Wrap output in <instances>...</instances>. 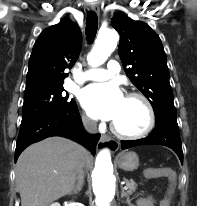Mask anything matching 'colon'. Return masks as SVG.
I'll use <instances>...</instances> for the list:
<instances>
[{
    "label": "colon",
    "instance_id": "obj_1",
    "mask_svg": "<svg viewBox=\"0 0 197 206\" xmlns=\"http://www.w3.org/2000/svg\"><path fill=\"white\" fill-rule=\"evenodd\" d=\"M172 193V189L169 190V196L171 195ZM161 206H170V198H166L162 201L161 203Z\"/></svg>",
    "mask_w": 197,
    "mask_h": 206
}]
</instances>
